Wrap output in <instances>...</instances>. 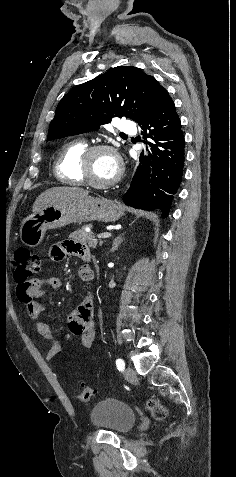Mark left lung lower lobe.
Returning a JSON list of instances; mask_svg holds the SVG:
<instances>
[{"label": "left lung lower lobe", "mask_w": 236, "mask_h": 477, "mask_svg": "<svg viewBox=\"0 0 236 477\" xmlns=\"http://www.w3.org/2000/svg\"><path fill=\"white\" fill-rule=\"evenodd\" d=\"M151 153L124 194L125 204L143 210L159 209L166 217L182 179L184 135L175 105L164 87L148 117L140 124ZM142 158V156H141Z\"/></svg>", "instance_id": "1"}]
</instances>
